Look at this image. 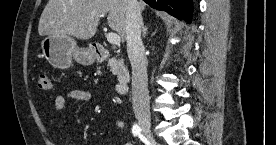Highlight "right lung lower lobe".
<instances>
[{"instance_id": "1", "label": "right lung lower lobe", "mask_w": 276, "mask_h": 145, "mask_svg": "<svg viewBox=\"0 0 276 145\" xmlns=\"http://www.w3.org/2000/svg\"><path fill=\"white\" fill-rule=\"evenodd\" d=\"M151 7L166 11L172 16L189 21L192 15L193 6L191 0H143Z\"/></svg>"}]
</instances>
